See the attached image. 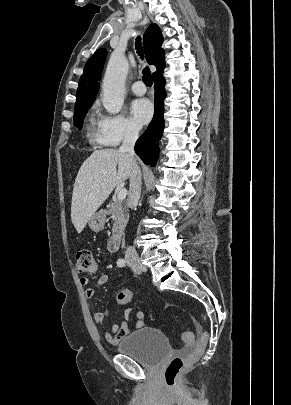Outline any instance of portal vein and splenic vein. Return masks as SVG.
<instances>
[{"instance_id": "obj_1", "label": "portal vein and splenic vein", "mask_w": 291, "mask_h": 405, "mask_svg": "<svg viewBox=\"0 0 291 405\" xmlns=\"http://www.w3.org/2000/svg\"><path fill=\"white\" fill-rule=\"evenodd\" d=\"M126 195H127V190L123 188L118 192L117 198H118V200H124L126 198Z\"/></svg>"}]
</instances>
